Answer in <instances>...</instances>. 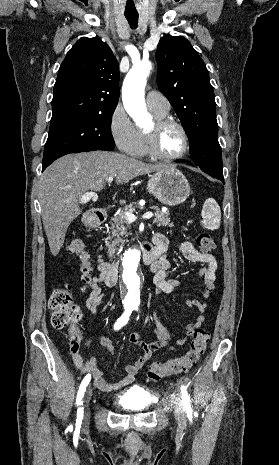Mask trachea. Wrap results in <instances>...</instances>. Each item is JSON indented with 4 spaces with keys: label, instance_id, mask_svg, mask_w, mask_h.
<instances>
[{
    "label": "trachea",
    "instance_id": "1",
    "mask_svg": "<svg viewBox=\"0 0 279 465\" xmlns=\"http://www.w3.org/2000/svg\"><path fill=\"white\" fill-rule=\"evenodd\" d=\"M130 27L132 29H136L138 25V14H130V15H125Z\"/></svg>",
    "mask_w": 279,
    "mask_h": 465
}]
</instances>
